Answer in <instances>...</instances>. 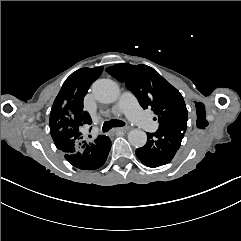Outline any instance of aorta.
I'll list each match as a JSON object with an SVG mask.
<instances>
[{
	"label": "aorta",
	"mask_w": 241,
	"mask_h": 241,
	"mask_svg": "<svg viewBox=\"0 0 241 241\" xmlns=\"http://www.w3.org/2000/svg\"><path fill=\"white\" fill-rule=\"evenodd\" d=\"M92 94L101 103H113L120 96V89L116 82L110 79H99L92 85ZM128 140L134 147H143L147 142V135L140 129H132L128 133Z\"/></svg>",
	"instance_id": "aorta-1"
}]
</instances>
